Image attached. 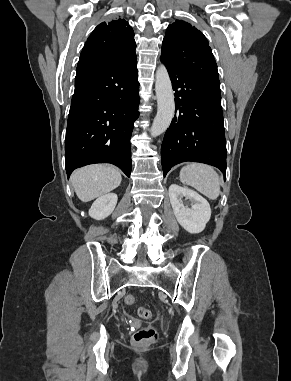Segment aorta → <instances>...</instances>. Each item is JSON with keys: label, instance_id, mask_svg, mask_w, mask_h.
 I'll list each match as a JSON object with an SVG mask.
<instances>
[{"label": "aorta", "instance_id": "obj_1", "mask_svg": "<svg viewBox=\"0 0 291 381\" xmlns=\"http://www.w3.org/2000/svg\"><path fill=\"white\" fill-rule=\"evenodd\" d=\"M155 91L157 96V114L150 129V134L153 137L167 130L175 111L172 84L164 65H160L156 71Z\"/></svg>", "mask_w": 291, "mask_h": 381}]
</instances>
